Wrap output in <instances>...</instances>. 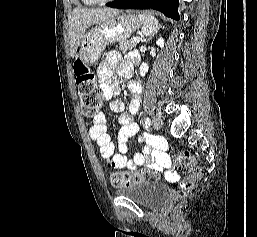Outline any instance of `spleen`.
I'll use <instances>...</instances> for the list:
<instances>
[{
    "label": "spleen",
    "instance_id": "obj_1",
    "mask_svg": "<svg viewBox=\"0 0 257 237\" xmlns=\"http://www.w3.org/2000/svg\"><path fill=\"white\" fill-rule=\"evenodd\" d=\"M139 20L143 24L141 33L145 36L153 35L158 29V20L147 14H139Z\"/></svg>",
    "mask_w": 257,
    "mask_h": 237
}]
</instances>
